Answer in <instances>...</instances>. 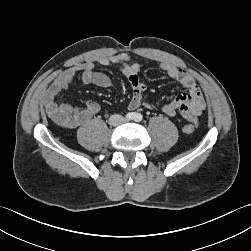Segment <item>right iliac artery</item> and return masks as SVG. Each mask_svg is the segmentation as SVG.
<instances>
[{
	"label": "right iliac artery",
	"instance_id": "82829eb1",
	"mask_svg": "<svg viewBox=\"0 0 251 251\" xmlns=\"http://www.w3.org/2000/svg\"><path fill=\"white\" fill-rule=\"evenodd\" d=\"M125 117L128 120L134 119L135 118V113H133V112L127 113Z\"/></svg>",
	"mask_w": 251,
	"mask_h": 251
}]
</instances>
